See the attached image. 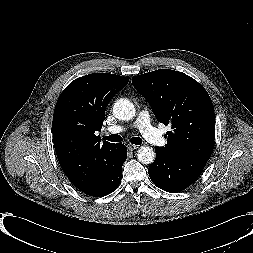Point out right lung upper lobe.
<instances>
[{
	"label": "right lung upper lobe",
	"mask_w": 253,
	"mask_h": 253,
	"mask_svg": "<svg viewBox=\"0 0 253 253\" xmlns=\"http://www.w3.org/2000/svg\"><path fill=\"white\" fill-rule=\"evenodd\" d=\"M129 77L94 73L75 79L59 96L52 132L60 166L79 190L91 186L109 168L117 144L100 145L95 131L101 130L105 110Z\"/></svg>",
	"instance_id": "right-lung-upper-lobe-1"
}]
</instances>
